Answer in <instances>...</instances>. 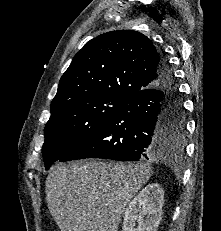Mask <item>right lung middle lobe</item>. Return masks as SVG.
<instances>
[{"label": "right lung middle lobe", "instance_id": "1", "mask_svg": "<svg viewBox=\"0 0 221 231\" xmlns=\"http://www.w3.org/2000/svg\"><path fill=\"white\" fill-rule=\"evenodd\" d=\"M126 99L112 96H90L76 100L51 114L44 130L43 158L46 169L95 133ZM163 135L174 147L184 143V113L181 102L166 108Z\"/></svg>", "mask_w": 221, "mask_h": 231}]
</instances>
